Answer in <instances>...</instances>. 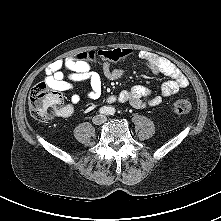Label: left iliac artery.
I'll list each match as a JSON object with an SVG mask.
<instances>
[{
    "label": "left iliac artery",
    "mask_w": 221,
    "mask_h": 221,
    "mask_svg": "<svg viewBox=\"0 0 221 221\" xmlns=\"http://www.w3.org/2000/svg\"><path fill=\"white\" fill-rule=\"evenodd\" d=\"M108 113H109L110 115H113V114L115 113V110H114L113 108H110V109L108 110Z\"/></svg>",
    "instance_id": "1"
}]
</instances>
